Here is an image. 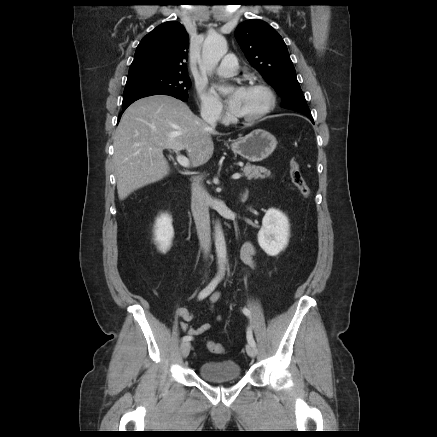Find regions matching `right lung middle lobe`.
<instances>
[{
    "mask_svg": "<svg viewBox=\"0 0 437 437\" xmlns=\"http://www.w3.org/2000/svg\"><path fill=\"white\" fill-rule=\"evenodd\" d=\"M191 81L188 74L159 71H134L128 73L123 106L152 95H170L182 101L188 99Z\"/></svg>",
    "mask_w": 437,
    "mask_h": 437,
    "instance_id": "right-lung-middle-lobe-1",
    "label": "right lung middle lobe"
}]
</instances>
